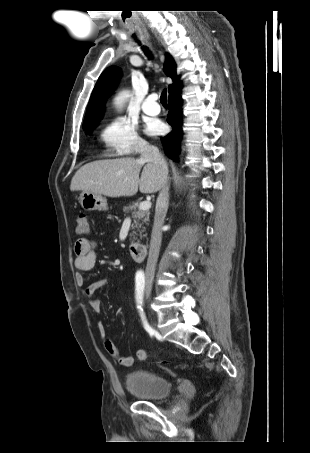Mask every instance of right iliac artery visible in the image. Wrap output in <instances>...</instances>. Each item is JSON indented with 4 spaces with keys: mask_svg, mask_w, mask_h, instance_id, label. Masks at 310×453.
I'll return each mask as SVG.
<instances>
[{
    "mask_svg": "<svg viewBox=\"0 0 310 453\" xmlns=\"http://www.w3.org/2000/svg\"><path fill=\"white\" fill-rule=\"evenodd\" d=\"M136 282V302L137 308L142 311L143 304V290L145 287V277L142 272H138L135 277Z\"/></svg>",
    "mask_w": 310,
    "mask_h": 453,
    "instance_id": "1",
    "label": "right iliac artery"
}]
</instances>
